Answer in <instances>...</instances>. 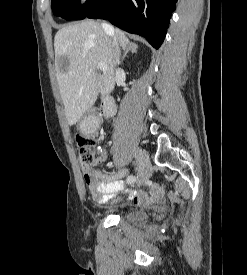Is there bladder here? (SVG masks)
<instances>
[{"label":"bladder","mask_w":247,"mask_h":275,"mask_svg":"<svg viewBox=\"0 0 247 275\" xmlns=\"http://www.w3.org/2000/svg\"><path fill=\"white\" fill-rule=\"evenodd\" d=\"M150 214L142 210H134L131 213L125 215L123 220L129 223L138 224L148 221Z\"/></svg>","instance_id":"31cf9c89"}]
</instances>
